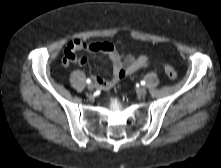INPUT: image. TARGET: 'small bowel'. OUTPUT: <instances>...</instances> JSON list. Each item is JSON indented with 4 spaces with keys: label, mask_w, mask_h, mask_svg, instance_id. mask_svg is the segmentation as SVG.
Listing matches in <instances>:
<instances>
[{
    "label": "small bowel",
    "mask_w": 221,
    "mask_h": 168,
    "mask_svg": "<svg viewBox=\"0 0 221 168\" xmlns=\"http://www.w3.org/2000/svg\"><path fill=\"white\" fill-rule=\"evenodd\" d=\"M85 50L94 54H103L109 61L113 75L110 79H104L100 76H95L94 81L96 85L104 90H109L115 86L123 78L143 69L149 65V57L146 55L134 56L132 54L119 53L115 47L108 42L103 43H85L80 39L70 41L65 49L62 62L64 65H69L75 62L80 66L87 64L85 57L77 58L75 53Z\"/></svg>",
    "instance_id": "c3829d8e"
}]
</instances>
